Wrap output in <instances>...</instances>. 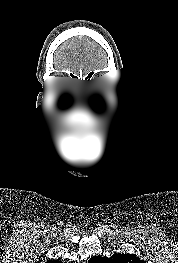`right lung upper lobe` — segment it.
Here are the masks:
<instances>
[{
	"mask_svg": "<svg viewBox=\"0 0 178 263\" xmlns=\"http://www.w3.org/2000/svg\"><path fill=\"white\" fill-rule=\"evenodd\" d=\"M47 263H62V262L58 260H49Z\"/></svg>",
	"mask_w": 178,
	"mask_h": 263,
	"instance_id": "1",
	"label": "right lung upper lobe"
}]
</instances>
